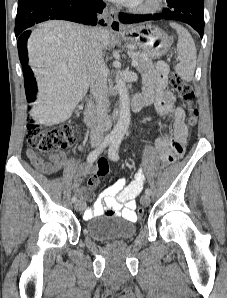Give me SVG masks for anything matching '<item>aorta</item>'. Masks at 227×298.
Returning a JSON list of instances; mask_svg holds the SVG:
<instances>
[{
	"label": "aorta",
	"instance_id": "762f6f07",
	"mask_svg": "<svg viewBox=\"0 0 227 298\" xmlns=\"http://www.w3.org/2000/svg\"><path fill=\"white\" fill-rule=\"evenodd\" d=\"M116 89L119 94L120 111L117 124L111 131L110 137L116 140H122L131 120L129 93L125 80L122 77H117Z\"/></svg>",
	"mask_w": 227,
	"mask_h": 298
}]
</instances>
